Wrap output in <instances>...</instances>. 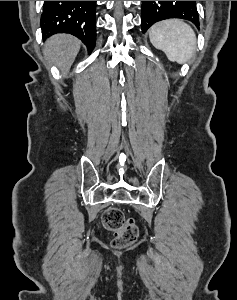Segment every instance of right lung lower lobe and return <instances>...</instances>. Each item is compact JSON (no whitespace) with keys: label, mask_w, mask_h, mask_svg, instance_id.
Segmentation results:
<instances>
[{"label":"right lung lower lobe","mask_w":237,"mask_h":300,"mask_svg":"<svg viewBox=\"0 0 237 300\" xmlns=\"http://www.w3.org/2000/svg\"><path fill=\"white\" fill-rule=\"evenodd\" d=\"M96 1H45L41 18L42 37L69 33L92 51L96 39Z\"/></svg>","instance_id":"obj_1"}]
</instances>
